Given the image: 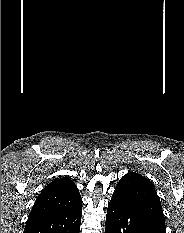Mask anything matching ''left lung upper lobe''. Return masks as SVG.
<instances>
[{
    "instance_id": "1",
    "label": "left lung upper lobe",
    "mask_w": 184,
    "mask_h": 233,
    "mask_svg": "<svg viewBox=\"0 0 184 233\" xmlns=\"http://www.w3.org/2000/svg\"><path fill=\"white\" fill-rule=\"evenodd\" d=\"M113 195L122 196L139 208L159 232L166 233L160 199L147 178L135 172H129L120 179Z\"/></svg>"
}]
</instances>
